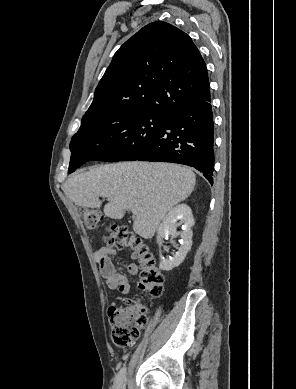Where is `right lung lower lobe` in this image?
<instances>
[{
  "label": "right lung lower lobe",
  "mask_w": 296,
  "mask_h": 389,
  "mask_svg": "<svg viewBox=\"0 0 296 389\" xmlns=\"http://www.w3.org/2000/svg\"><path fill=\"white\" fill-rule=\"evenodd\" d=\"M136 160L188 165L199 170L213 184L214 121L211 98L189 104L168 115L164 126Z\"/></svg>",
  "instance_id": "right-lung-lower-lobe-1"
}]
</instances>
